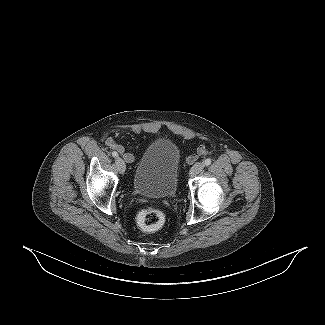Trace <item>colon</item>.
<instances>
[{"instance_id": "5ec220e1", "label": "colon", "mask_w": 325, "mask_h": 325, "mask_svg": "<svg viewBox=\"0 0 325 325\" xmlns=\"http://www.w3.org/2000/svg\"><path fill=\"white\" fill-rule=\"evenodd\" d=\"M137 221L139 226L144 231L152 232L160 229L163 226L165 216L162 211L150 208L141 212Z\"/></svg>"}]
</instances>
